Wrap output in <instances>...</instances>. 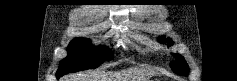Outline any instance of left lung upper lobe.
Instances as JSON below:
<instances>
[{"instance_id": "obj_1", "label": "left lung upper lobe", "mask_w": 237, "mask_h": 81, "mask_svg": "<svg viewBox=\"0 0 237 81\" xmlns=\"http://www.w3.org/2000/svg\"><path fill=\"white\" fill-rule=\"evenodd\" d=\"M159 41L161 43H164L165 41V38L164 37H160L159 38ZM173 43V41L171 39H167V44L168 46H171ZM173 56L175 57V61H172L170 62V67L171 69L177 73V74H180V75H187L188 72H189V67L185 61V59L179 55V54H173Z\"/></svg>"}]
</instances>
